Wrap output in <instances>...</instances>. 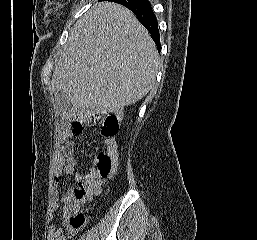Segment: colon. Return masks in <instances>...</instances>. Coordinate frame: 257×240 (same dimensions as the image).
<instances>
[{"instance_id":"5ec220e1","label":"colon","mask_w":257,"mask_h":240,"mask_svg":"<svg viewBox=\"0 0 257 240\" xmlns=\"http://www.w3.org/2000/svg\"><path fill=\"white\" fill-rule=\"evenodd\" d=\"M92 121L100 127V139L105 141L113 138L119 127L118 117L109 112H97L93 114ZM69 128L79 133L83 126L79 122H73ZM116 160L105 151L98 152L93 159L92 167L82 178L79 184L70 192L64 202V215L67 219L68 227L79 231L87 223V217L79 209V206L98 193L102 184L113 175Z\"/></svg>"}]
</instances>
